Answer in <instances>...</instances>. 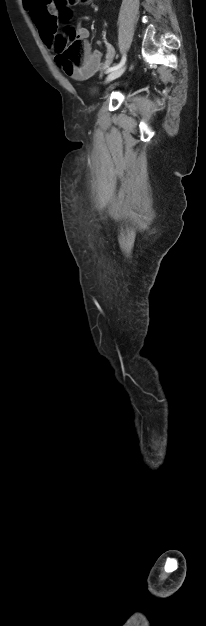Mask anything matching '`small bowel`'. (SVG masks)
<instances>
[{"mask_svg": "<svg viewBox=\"0 0 206 626\" xmlns=\"http://www.w3.org/2000/svg\"><path fill=\"white\" fill-rule=\"evenodd\" d=\"M27 9L31 13L44 43L48 47L57 50L55 34L57 31L58 12L56 7L49 0H33L27 3ZM83 19L84 17L79 18L80 25L77 34L82 39H86L89 36V31L81 25ZM87 47L89 51L80 65L66 60L60 52L55 56L56 64L66 75L74 80L83 81L91 78L97 72L105 69L114 58L115 50L108 43L103 44V51L100 49L91 50L88 44Z\"/></svg>", "mask_w": 206, "mask_h": 626, "instance_id": "c3829d8e", "label": "small bowel"}]
</instances>
